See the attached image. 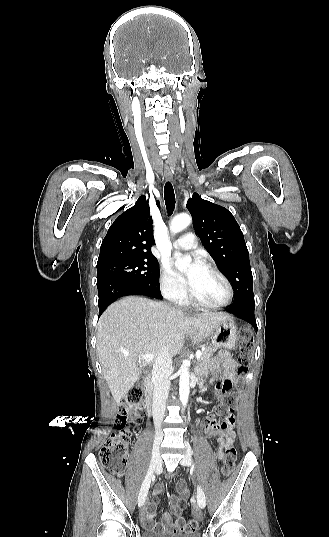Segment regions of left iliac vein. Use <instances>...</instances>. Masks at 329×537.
<instances>
[{
  "mask_svg": "<svg viewBox=\"0 0 329 537\" xmlns=\"http://www.w3.org/2000/svg\"><path fill=\"white\" fill-rule=\"evenodd\" d=\"M180 463L183 466H190L191 465V457L189 453H186L185 456L181 459ZM161 469V464L160 468ZM197 505L199 508L203 509L206 506V496L204 494V491L198 486L197 488Z\"/></svg>",
  "mask_w": 329,
  "mask_h": 537,
  "instance_id": "1",
  "label": "left iliac vein"
}]
</instances>
